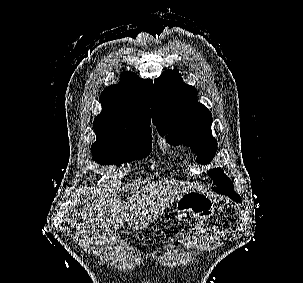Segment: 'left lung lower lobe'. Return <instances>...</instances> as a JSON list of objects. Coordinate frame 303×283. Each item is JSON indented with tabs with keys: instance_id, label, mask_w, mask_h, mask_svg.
Listing matches in <instances>:
<instances>
[{
	"instance_id": "obj_1",
	"label": "left lung lower lobe",
	"mask_w": 303,
	"mask_h": 283,
	"mask_svg": "<svg viewBox=\"0 0 303 283\" xmlns=\"http://www.w3.org/2000/svg\"><path fill=\"white\" fill-rule=\"evenodd\" d=\"M228 195L230 198H232L235 201L241 202V198L238 194H226Z\"/></svg>"
}]
</instances>
